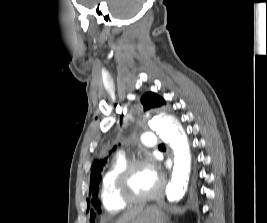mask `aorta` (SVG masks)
<instances>
[{
	"instance_id": "1",
	"label": "aorta",
	"mask_w": 267,
	"mask_h": 223,
	"mask_svg": "<svg viewBox=\"0 0 267 223\" xmlns=\"http://www.w3.org/2000/svg\"><path fill=\"white\" fill-rule=\"evenodd\" d=\"M149 126L173 150L174 167L165 193L168 202L179 201L185 194L191 170V154L185 132L175 117L166 114L153 116Z\"/></svg>"
}]
</instances>
